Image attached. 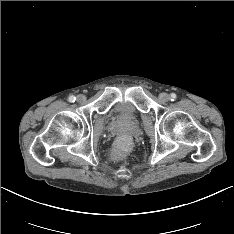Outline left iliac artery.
I'll return each instance as SVG.
<instances>
[{
    "instance_id": "44dca946",
    "label": "left iliac artery",
    "mask_w": 234,
    "mask_h": 234,
    "mask_svg": "<svg viewBox=\"0 0 234 234\" xmlns=\"http://www.w3.org/2000/svg\"><path fill=\"white\" fill-rule=\"evenodd\" d=\"M176 97H177V96H176L175 93H171V94H170V100H171V101H174V100L176 99Z\"/></svg>"
}]
</instances>
